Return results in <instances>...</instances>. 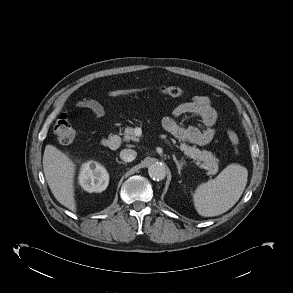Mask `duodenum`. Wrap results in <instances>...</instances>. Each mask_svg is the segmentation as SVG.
I'll return each instance as SVG.
<instances>
[{"instance_id": "duodenum-1", "label": "duodenum", "mask_w": 293, "mask_h": 293, "mask_svg": "<svg viewBox=\"0 0 293 293\" xmlns=\"http://www.w3.org/2000/svg\"><path fill=\"white\" fill-rule=\"evenodd\" d=\"M102 144L110 150H116L119 148L121 144V140L116 135H110L106 138H103Z\"/></svg>"}]
</instances>
